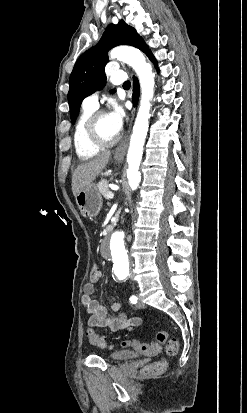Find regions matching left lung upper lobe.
<instances>
[{"instance_id": "1", "label": "left lung upper lobe", "mask_w": 247, "mask_h": 413, "mask_svg": "<svg viewBox=\"0 0 247 413\" xmlns=\"http://www.w3.org/2000/svg\"><path fill=\"white\" fill-rule=\"evenodd\" d=\"M118 45L134 46L147 56L151 54L142 37L123 20H120L117 25H108L99 43L78 58L70 75L68 103L73 124L82 100L104 87L106 81L104 68L108 62L107 52Z\"/></svg>"}]
</instances>
